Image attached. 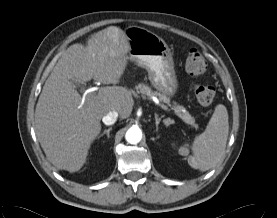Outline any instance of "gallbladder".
<instances>
[{
    "label": "gallbladder",
    "instance_id": "gallbladder-1",
    "mask_svg": "<svg viewBox=\"0 0 277 218\" xmlns=\"http://www.w3.org/2000/svg\"><path fill=\"white\" fill-rule=\"evenodd\" d=\"M71 82L73 83V85H74L75 87H80V83L77 82L75 79L71 80Z\"/></svg>",
    "mask_w": 277,
    "mask_h": 218
}]
</instances>
